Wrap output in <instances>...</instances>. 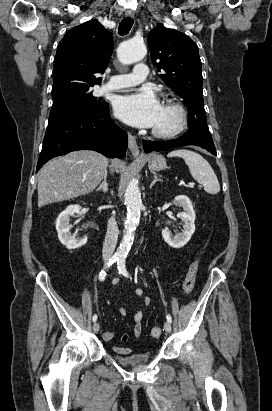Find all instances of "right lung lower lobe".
Segmentation results:
<instances>
[{
	"label": "right lung lower lobe",
	"instance_id": "98d812e1",
	"mask_svg": "<svg viewBox=\"0 0 272 411\" xmlns=\"http://www.w3.org/2000/svg\"><path fill=\"white\" fill-rule=\"evenodd\" d=\"M127 140V133L110 118L107 103L99 110L69 114L48 123L36 172L53 157L76 150L124 158Z\"/></svg>",
	"mask_w": 272,
	"mask_h": 411
}]
</instances>
